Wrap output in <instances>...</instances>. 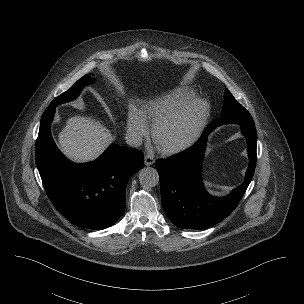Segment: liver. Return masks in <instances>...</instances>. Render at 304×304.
<instances>
[{"label":"liver","instance_id":"obj_1","mask_svg":"<svg viewBox=\"0 0 304 304\" xmlns=\"http://www.w3.org/2000/svg\"><path fill=\"white\" fill-rule=\"evenodd\" d=\"M114 139L111 131L92 116H73L59 133L61 151L76 162L91 161L98 157Z\"/></svg>","mask_w":304,"mask_h":304}]
</instances>
